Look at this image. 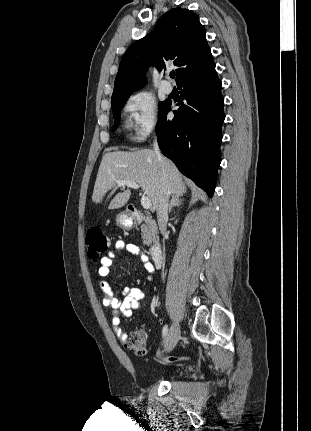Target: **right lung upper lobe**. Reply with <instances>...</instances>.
<instances>
[{
    "label": "right lung upper lobe",
    "instance_id": "cb5924a9",
    "mask_svg": "<svg viewBox=\"0 0 311 431\" xmlns=\"http://www.w3.org/2000/svg\"><path fill=\"white\" fill-rule=\"evenodd\" d=\"M165 61H172L177 67L178 86L215 65L205 28L188 9H171L150 34L129 47L120 63L112 99L131 95L143 87L147 68L162 70Z\"/></svg>",
    "mask_w": 311,
    "mask_h": 431
}]
</instances>
